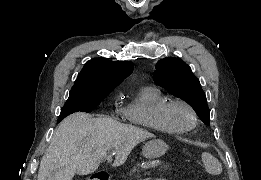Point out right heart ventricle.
Masks as SVG:
<instances>
[{
    "label": "right heart ventricle",
    "mask_w": 261,
    "mask_h": 180,
    "mask_svg": "<svg viewBox=\"0 0 261 180\" xmlns=\"http://www.w3.org/2000/svg\"><path fill=\"white\" fill-rule=\"evenodd\" d=\"M168 101V98L158 88L147 86L141 88L120 109L121 122H131V127H144V131L156 133V138L180 141L185 133H173L165 130L159 120L158 110Z\"/></svg>",
    "instance_id": "obj_1"
}]
</instances>
